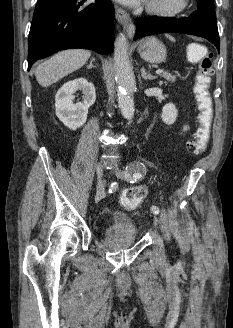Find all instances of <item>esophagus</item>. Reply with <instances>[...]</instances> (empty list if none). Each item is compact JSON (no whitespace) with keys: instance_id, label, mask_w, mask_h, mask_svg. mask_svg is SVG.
Returning a JSON list of instances; mask_svg holds the SVG:
<instances>
[{"instance_id":"34e87169","label":"esophagus","mask_w":233,"mask_h":328,"mask_svg":"<svg viewBox=\"0 0 233 328\" xmlns=\"http://www.w3.org/2000/svg\"><path fill=\"white\" fill-rule=\"evenodd\" d=\"M115 15L118 22H120L125 28L129 37H132L135 32V26L132 23L129 14L119 6H115Z\"/></svg>"}]
</instances>
